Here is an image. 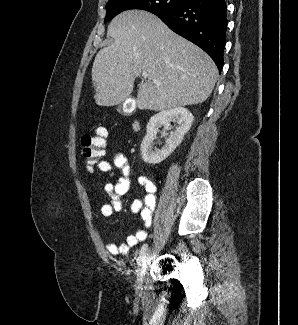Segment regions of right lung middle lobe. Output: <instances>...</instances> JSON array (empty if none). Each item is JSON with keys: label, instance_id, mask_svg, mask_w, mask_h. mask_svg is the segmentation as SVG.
Returning a JSON list of instances; mask_svg holds the SVG:
<instances>
[{"label": "right lung middle lobe", "instance_id": "1", "mask_svg": "<svg viewBox=\"0 0 298 325\" xmlns=\"http://www.w3.org/2000/svg\"><path fill=\"white\" fill-rule=\"evenodd\" d=\"M188 0H113L106 5L104 22L129 9H142L152 13L174 10L182 7Z\"/></svg>", "mask_w": 298, "mask_h": 325}]
</instances>
